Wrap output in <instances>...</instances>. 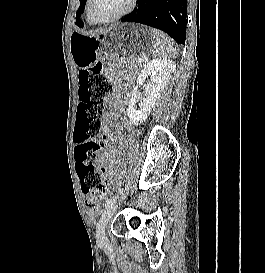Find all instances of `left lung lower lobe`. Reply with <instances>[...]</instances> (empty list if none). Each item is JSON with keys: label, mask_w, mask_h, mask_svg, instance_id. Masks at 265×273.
<instances>
[{"label": "left lung lower lobe", "mask_w": 265, "mask_h": 273, "mask_svg": "<svg viewBox=\"0 0 265 273\" xmlns=\"http://www.w3.org/2000/svg\"><path fill=\"white\" fill-rule=\"evenodd\" d=\"M186 17V0H139L138 7L120 21L137 22L160 29L178 44H185Z\"/></svg>", "instance_id": "0a47b994"}]
</instances>
